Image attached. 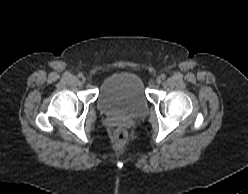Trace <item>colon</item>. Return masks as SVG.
I'll list each match as a JSON object with an SVG mask.
<instances>
[{
  "label": "colon",
  "instance_id": "1",
  "mask_svg": "<svg viewBox=\"0 0 248 194\" xmlns=\"http://www.w3.org/2000/svg\"><path fill=\"white\" fill-rule=\"evenodd\" d=\"M127 133L124 129L119 128L116 130L115 134H114V143L115 146L118 150H122L124 149V147L127 144Z\"/></svg>",
  "mask_w": 248,
  "mask_h": 194
}]
</instances>
